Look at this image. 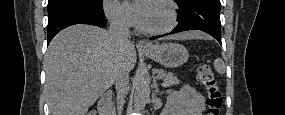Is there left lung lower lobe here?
I'll return each mask as SVG.
<instances>
[{"label": "left lung lower lobe", "instance_id": "1", "mask_svg": "<svg viewBox=\"0 0 285 115\" xmlns=\"http://www.w3.org/2000/svg\"><path fill=\"white\" fill-rule=\"evenodd\" d=\"M220 6V0H187L179 5L177 10L179 23L168 34L187 30H202L212 35L221 44ZM161 36L150 39L155 40Z\"/></svg>", "mask_w": 285, "mask_h": 115}]
</instances>
